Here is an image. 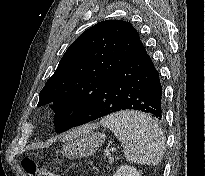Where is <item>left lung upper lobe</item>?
Here are the masks:
<instances>
[{
	"mask_svg": "<svg viewBox=\"0 0 205 176\" xmlns=\"http://www.w3.org/2000/svg\"><path fill=\"white\" fill-rule=\"evenodd\" d=\"M142 42L131 23L106 20L83 32L66 50L40 92L38 106L51 103L62 133L95 101L98 91Z\"/></svg>",
	"mask_w": 205,
	"mask_h": 176,
	"instance_id": "left-lung-upper-lobe-1",
	"label": "left lung upper lobe"
}]
</instances>
